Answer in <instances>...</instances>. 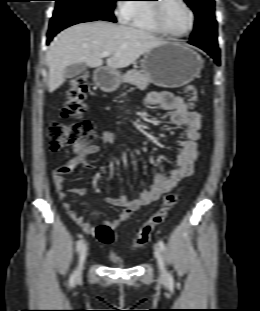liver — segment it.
Listing matches in <instances>:
<instances>
[{
	"label": "liver",
	"instance_id": "obj_1",
	"mask_svg": "<svg viewBox=\"0 0 260 311\" xmlns=\"http://www.w3.org/2000/svg\"><path fill=\"white\" fill-rule=\"evenodd\" d=\"M147 31L106 21L73 25L57 35L46 55L50 93L65 81L67 66L84 63L91 68L103 65V52H109L107 69L128 67L155 46L165 44Z\"/></svg>",
	"mask_w": 260,
	"mask_h": 311
}]
</instances>
